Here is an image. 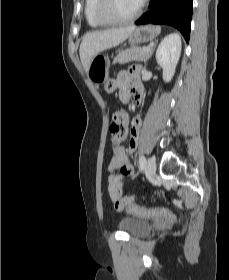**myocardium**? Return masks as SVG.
I'll list each match as a JSON object with an SVG mask.
<instances>
[{
    "label": "myocardium",
    "instance_id": "1",
    "mask_svg": "<svg viewBox=\"0 0 229 280\" xmlns=\"http://www.w3.org/2000/svg\"><path fill=\"white\" fill-rule=\"evenodd\" d=\"M146 1L147 0H144V2L138 7V9L135 11V13L132 14L131 16L126 17V18H118V17L113 16L110 13L109 9H110L111 0H99L97 9H96V16H97L98 20L105 25L128 24V23L133 22L140 16Z\"/></svg>",
    "mask_w": 229,
    "mask_h": 280
}]
</instances>
